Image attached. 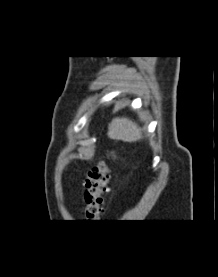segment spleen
I'll return each instance as SVG.
<instances>
[{"instance_id": "3e777b00", "label": "spleen", "mask_w": 218, "mask_h": 277, "mask_svg": "<svg viewBox=\"0 0 218 277\" xmlns=\"http://www.w3.org/2000/svg\"><path fill=\"white\" fill-rule=\"evenodd\" d=\"M108 137L113 140L135 142L142 138L141 128L128 118H114L108 126Z\"/></svg>"}]
</instances>
